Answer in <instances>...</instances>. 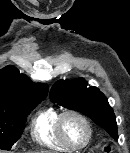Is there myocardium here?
Masks as SVG:
<instances>
[{
  "instance_id": "myocardium-1",
  "label": "myocardium",
  "mask_w": 130,
  "mask_h": 153,
  "mask_svg": "<svg viewBox=\"0 0 130 153\" xmlns=\"http://www.w3.org/2000/svg\"><path fill=\"white\" fill-rule=\"evenodd\" d=\"M68 116H74V117L78 118L80 121H82V123L85 125V127L87 129V138L84 141V143H82L81 145H74V144L70 143L64 135L63 122H64L65 118ZM56 131H57V134H58L60 140L64 143V145H66L71 150H81V149H84L85 147H87L88 144L90 143V141L92 139V135H93L92 125H91L89 119L83 113H81L78 110H74V109H68V110H65L59 114L57 121H56Z\"/></svg>"
}]
</instances>
